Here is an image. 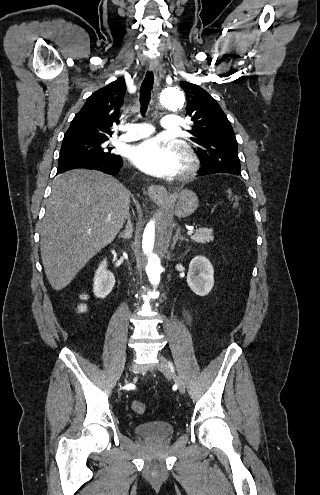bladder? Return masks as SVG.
Instances as JSON below:
<instances>
[{"instance_id": "bladder-1", "label": "bladder", "mask_w": 320, "mask_h": 495, "mask_svg": "<svg viewBox=\"0 0 320 495\" xmlns=\"http://www.w3.org/2000/svg\"><path fill=\"white\" fill-rule=\"evenodd\" d=\"M134 431L143 438L162 440L174 434V425L167 421L154 420L137 424Z\"/></svg>"}]
</instances>
